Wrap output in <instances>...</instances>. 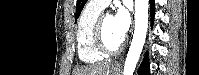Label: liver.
<instances>
[{"mask_svg":"<svg viewBox=\"0 0 199 75\" xmlns=\"http://www.w3.org/2000/svg\"><path fill=\"white\" fill-rule=\"evenodd\" d=\"M110 64H92L77 68L74 75H110Z\"/></svg>","mask_w":199,"mask_h":75,"instance_id":"obj_1","label":"liver"}]
</instances>
